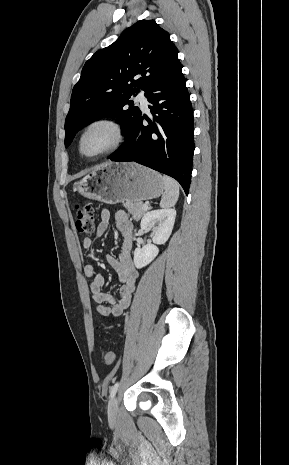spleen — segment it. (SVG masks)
<instances>
[{
  "label": "spleen",
  "instance_id": "3e777b00",
  "mask_svg": "<svg viewBox=\"0 0 289 465\" xmlns=\"http://www.w3.org/2000/svg\"><path fill=\"white\" fill-rule=\"evenodd\" d=\"M165 194L163 195L160 206L163 208H170L175 206L179 198V184L173 178L164 175L162 177Z\"/></svg>",
  "mask_w": 289,
  "mask_h": 465
}]
</instances>
